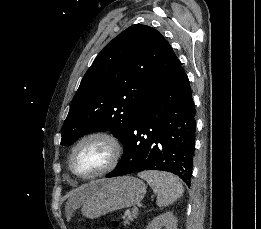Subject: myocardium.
I'll return each mask as SVG.
<instances>
[{
  "label": "myocardium",
  "mask_w": 261,
  "mask_h": 229,
  "mask_svg": "<svg viewBox=\"0 0 261 229\" xmlns=\"http://www.w3.org/2000/svg\"><path fill=\"white\" fill-rule=\"evenodd\" d=\"M93 140H99V141L103 142L104 144H106V146L108 147V149L110 151L109 161L99 171L91 173V174H85V173L78 171L74 167L73 158H74L75 152L77 151V149L79 147H81L83 144H85L89 141H93ZM121 155H122L121 145H120L118 139L112 133L107 132V131H94V132H90V133L84 135L73 145V147L71 148V151H70V156H69V168L73 174H75L76 176H78L80 178H84V179L95 178V177L104 175V174L110 172L111 170H113L117 166V164L121 158Z\"/></svg>",
  "instance_id": "f54148a6"
}]
</instances>
